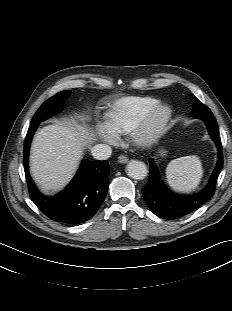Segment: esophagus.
<instances>
[{
  "instance_id": "obj_1",
  "label": "esophagus",
  "mask_w": 232,
  "mask_h": 311,
  "mask_svg": "<svg viewBox=\"0 0 232 311\" xmlns=\"http://www.w3.org/2000/svg\"><path fill=\"white\" fill-rule=\"evenodd\" d=\"M118 161L120 163H126V162H128V157L124 156V155H121V156L118 157Z\"/></svg>"
}]
</instances>
